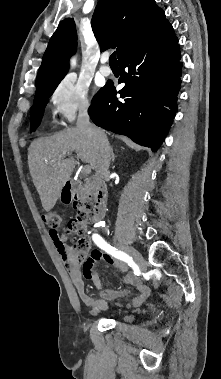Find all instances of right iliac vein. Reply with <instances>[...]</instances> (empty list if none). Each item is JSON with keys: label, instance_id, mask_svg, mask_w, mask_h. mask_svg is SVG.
<instances>
[{"label": "right iliac vein", "instance_id": "obj_1", "mask_svg": "<svg viewBox=\"0 0 221 379\" xmlns=\"http://www.w3.org/2000/svg\"><path fill=\"white\" fill-rule=\"evenodd\" d=\"M120 248L122 250L126 251L128 254H130L135 259V261L137 262V264L139 265V267L141 268L142 271L145 270V260L137 250H135L134 248H131L129 246H124V245H120Z\"/></svg>", "mask_w": 221, "mask_h": 379}]
</instances>
